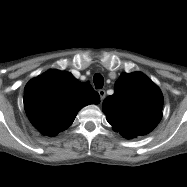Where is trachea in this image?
I'll list each match as a JSON object with an SVG mask.
<instances>
[{"label": "trachea", "instance_id": "trachea-1", "mask_svg": "<svg viewBox=\"0 0 187 187\" xmlns=\"http://www.w3.org/2000/svg\"><path fill=\"white\" fill-rule=\"evenodd\" d=\"M93 82L96 89H100L104 85V78L101 74L97 73L93 77Z\"/></svg>", "mask_w": 187, "mask_h": 187}]
</instances>
